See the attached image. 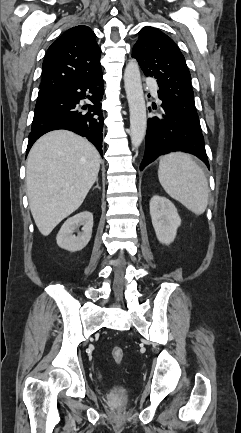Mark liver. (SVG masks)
I'll return each mask as SVG.
<instances>
[{
    "instance_id": "liver-1",
    "label": "liver",
    "mask_w": 241,
    "mask_h": 433,
    "mask_svg": "<svg viewBox=\"0 0 241 433\" xmlns=\"http://www.w3.org/2000/svg\"><path fill=\"white\" fill-rule=\"evenodd\" d=\"M100 156L87 139L66 130L42 136L26 165L29 206L44 236L83 203L97 179Z\"/></svg>"
}]
</instances>
